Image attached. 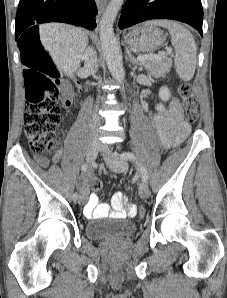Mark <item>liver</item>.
I'll list each match as a JSON object with an SVG mask.
<instances>
[{"label": "liver", "mask_w": 227, "mask_h": 298, "mask_svg": "<svg viewBox=\"0 0 227 298\" xmlns=\"http://www.w3.org/2000/svg\"><path fill=\"white\" fill-rule=\"evenodd\" d=\"M40 40L58 68L67 77L73 78L88 43L87 35L79 28L48 23L40 26Z\"/></svg>", "instance_id": "1"}]
</instances>
